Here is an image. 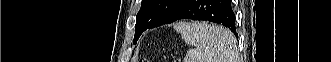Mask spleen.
<instances>
[{"label": "spleen", "instance_id": "spleen-1", "mask_svg": "<svg viewBox=\"0 0 331 62\" xmlns=\"http://www.w3.org/2000/svg\"><path fill=\"white\" fill-rule=\"evenodd\" d=\"M174 29L191 46L184 62H238V49L233 34L206 22H179Z\"/></svg>", "mask_w": 331, "mask_h": 62}]
</instances>
